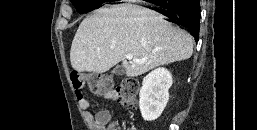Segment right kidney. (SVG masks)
<instances>
[{"label": "right kidney", "instance_id": "right-kidney-1", "mask_svg": "<svg viewBox=\"0 0 257 130\" xmlns=\"http://www.w3.org/2000/svg\"><path fill=\"white\" fill-rule=\"evenodd\" d=\"M171 86L172 75L166 68H157L143 79L139 108L145 121H154L162 114L169 100L168 90Z\"/></svg>", "mask_w": 257, "mask_h": 130}]
</instances>
